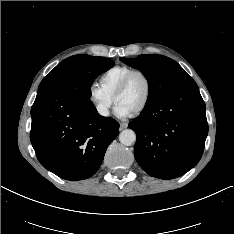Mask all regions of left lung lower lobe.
Instances as JSON below:
<instances>
[{
    "mask_svg": "<svg viewBox=\"0 0 234 234\" xmlns=\"http://www.w3.org/2000/svg\"><path fill=\"white\" fill-rule=\"evenodd\" d=\"M206 106L195 82L143 109L129 123L136 133V161L150 176H182L201 159L208 134Z\"/></svg>",
    "mask_w": 234,
    "mask_h": 234,
    "instance_id": "0a47b994",
    "label": "left lung lower lobe"
}]
</instances>
